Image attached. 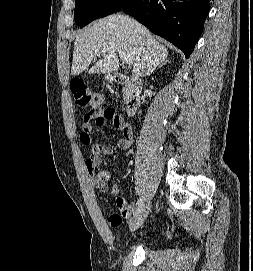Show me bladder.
Returning a JSON list of instances; mask_svg holds the SVG:
<instances>
[{
    "instance_id": "bladder-1",
    "label": "bladder",
    "mask_w": 253,
    "mask_h": 271,
    "mask_svg": "<svg viewBox=\"0 0 253 271\" xmlns=\"http://www.w3.org/2000/svg\"><path fill=\"white\" fill-rule=\"evenodd\" d=\"M145 241H148L149 239H150V237L149 236H146V237H144L143 238Z\"/></svg>"
}]
</instances>
